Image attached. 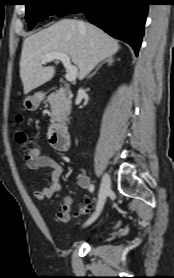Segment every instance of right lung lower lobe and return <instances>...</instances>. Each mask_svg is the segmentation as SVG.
Returning <instances> with one entry per match:
<instances>
[{
    "instance_id": "obj_1",
    "label": "right lung lower lobe",
    "mask_w": 174,
    "mask_h": 278,
    "mask_svg": "<svg viewBox=\"0 0 174 278\" xmlns=\"http://www.w3.org/2000/svg\"><path fill=\"white\" fill-rule=\"evenodd\" d=\"M148 5L147 0H79L68 13L84 12L91 23L127 42L138 54Z\"/></svg>"
}]
</instances>
